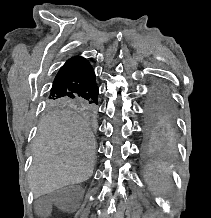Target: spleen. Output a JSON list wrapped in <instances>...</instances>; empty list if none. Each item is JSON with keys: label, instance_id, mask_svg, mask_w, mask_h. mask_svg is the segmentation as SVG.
Listing matches in <instances>:
<instances>
[{"label": "spleen", "instance_id": "3e777b00", "mask_svg": "<svg viewBox=\"0 0 211 218\" xmlns=\"http://www.w3.org/2000/svg\"><path fill=\"white\" fill-rule=\"evenodd\" d=\"M167 168V162H162V160L150 162L146 166L145 182L155 196H167L172 190V180Z\"/></svg>", "mask_w": 211, "mask_h": 218}]
</instances>
